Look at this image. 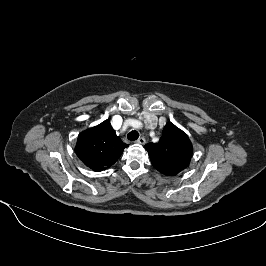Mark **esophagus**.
Segmentation results:
<instances>
[{"instance_id": "esophagus-1", "label": "esophagus", "mask_w": 266, "mask_h": 266, "mask_svg": "<svg viewBox=\"0 0 266 266\" xmlns=\"http://www.w3.org/2000/svg\"><path fill=\"white\" fill-rule=\"evenodd\" d=\"M145 138L144 137H140V138H138L137 140H136V143H138V144H145Z\"/></svg>"}]
</instances>
